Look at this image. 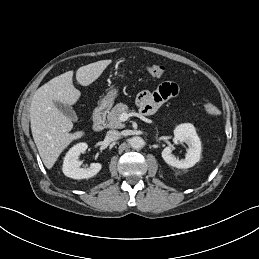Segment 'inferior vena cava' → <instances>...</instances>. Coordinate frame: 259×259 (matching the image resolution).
Masks as SVG:
<instances>
[{
  "mask_svg": "<svg viewBox=\"0 0 259 259\" xmlns=\"http://www.w3.org/2000/svg\"><path fill=\"white\" fill-rule=\"evenodd\" d=\"M121 133L117 130H109L106 134V138L110 141H115L120 139Z\"/></svg>",
  "mask_w": 259,
  "mask_h": 259,
  "instance_id": "1",
  "label": "inferior vena cava"
}]
</instances>
